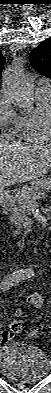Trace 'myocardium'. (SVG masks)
Returning a JSON list of instances; mask_svg holds the SVG:
<instances>
[{
    "instance_id": "f54148a6",
    "label": "myocardium",
    "mask_w": 51,
    "mask_h": 393,
    "mask_svg": "<svg viewBox=\"0 0 51 393\" xmlns=\"http://www.w3.org/2000/svg\"><path fill=\"white\" fill-rule=\"evenodd\" d=\"M47 119H48V126L51 127V106H50L49 111L47 113Z\"/></svg>"
}]
</instances>
